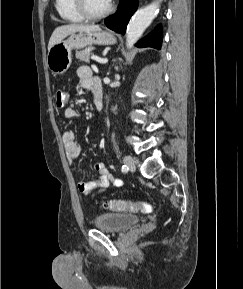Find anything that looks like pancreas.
<instances>
[{
	"label": "pancreas",
	"mask_w": 243,
	"mask_h": 289,
	"mask_svg": "<svg viewBox=\"0 0 243 289\" xmlns=\"http://www.w3.org/2000/svg\"><path fill=\"white\" fill-rule=\"evenodd\" d=\"M93 51L92 47H88L82 51L76 52V58L85 63H89L90 53Z\"/></svg>",
	"instance_id": "pancreas-1"
}]
</instances>
